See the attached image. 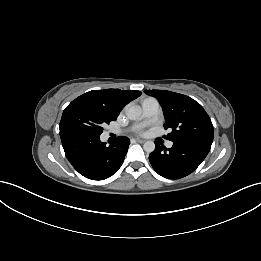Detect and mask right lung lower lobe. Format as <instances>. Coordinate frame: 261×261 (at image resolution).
Here are the masks:
<instances>
[{"label":"right lung lower lobe","mask_w":261,"mask_h":261,"mask_svg":"<svg viewBox=\"0 0 261 261\" xmlns=\"http://www.w3.org/2000/svg\"><path fill=\"white\" fill-rule=\"evenodd\" d=\"M60 137L69 162L92 180L111 177L121 167L130 144L127 137L120 136L107 146L100 135L89 132L63 131Z\"/></svg>","instance_id":"right-lung-lower-lobe-1"}]
</instances>
